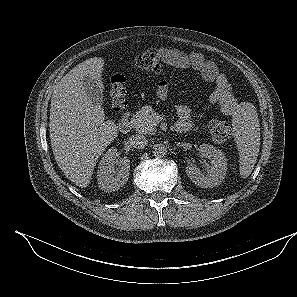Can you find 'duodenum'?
I'll list each match as a JSON object with an SVG mask.
<instances>
[{
	"label": "duodenum",
	"mask_w": 297,
	"mask_h": 297,
	"mask_svg": "<svg viewBox=\"0 0 297 297\" xmlns=\"http://www.w3.org/2000/svg\"><path fill=\"white\" fill-rule=\"evenodd\" d=\"M118 130L123 133L126 134L130 131L131 129V121H130V114L128 112H125L122 117L119 119L118 122ZM190 125L188 123H184V122H177L176 126H175V130L178 133H186L190 130Z\"/></svg>",
	"instance_id": "1"
}]
</instances>
